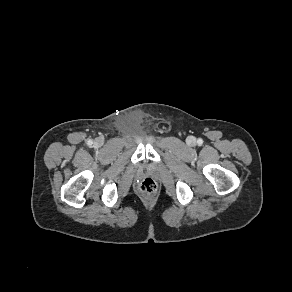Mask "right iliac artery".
<instances>
[{"mask_svg": "<svg viewBox=\"0 0 292 292\" xmlns=\"http://www.w3.org/2000/svg\"><path fill=\"white\" fill-rule=\"evenodd\" d=\"M89 144H92V141L91 140L89 141Z\"/></svg>", "mask_w": 292, "mask_h": 292, "instance_id": "82829eb1", "label": "right iliac artery"}]
</instances>
